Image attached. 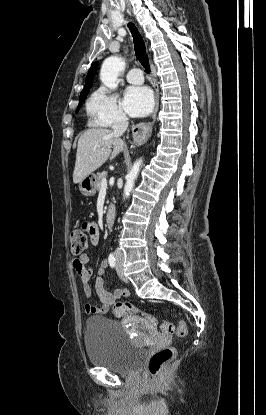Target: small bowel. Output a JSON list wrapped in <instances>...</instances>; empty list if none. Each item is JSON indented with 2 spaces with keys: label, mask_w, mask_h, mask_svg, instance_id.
Returning <instances> with one entry per match:
<instances>
[{
  "label": "small bowel",
  "mask_w": 266,
  "mask_h": 415,
  "mask_svg": "<svg viewBox=\"0 0 266 415\" xmlns=\"http://www.w3.org/2000/svg\"><path fill=\"white\" fill-rule=\"evenodd\" d=\"M83 229L89 234L91 243L97 245L99 242V228L95 221H88L83 223ZM90 259L88 255L82 254L72 261L74 270L79 274L83 285L85 296H91L90 282L93 276V270L87 267ZM109 262L103 260L97 271V278L94 282V289L99 301L98 305L86 304L85 311L87 314H106L114 305L117 299L128 296L129 292L123 287H116L113 292H109L105 288L103 275L108 268Z\"/></svg>",
  "instance_id": "c3829d8e"
}]
</instances>
